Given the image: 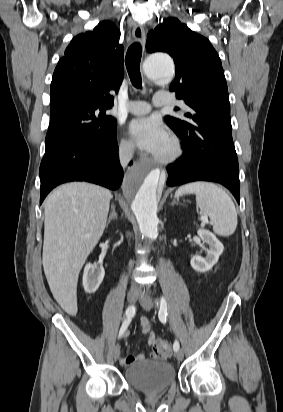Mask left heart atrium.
<instances>
[{
    "label": "left heart atrium",
    "instance_id": "39dd6f15",
    "mask_svg": "<svg viewBox=\"0 0 283 412\" xmlns=\"http://www.w3.org/2000/svg\"><path fill=\"white\" fill-rule=\"evenodd\" d=\"M129 134L142 150L152 154H156L168 140L165 127L155 117L133 120L129 125Z\"/></svg>",
    "mask_w": 283,
    "mask_h": 412
}]
</instances>
